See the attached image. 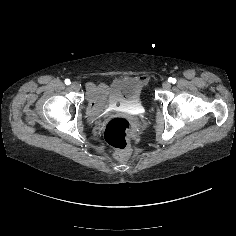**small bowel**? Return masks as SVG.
Returning <instances> with one entry per match:
<instances>
[{
    "mask_svg": "<svg viewBox=\"0 0 236 236\" xmlns=\"http://www.w3.org/2000/svg\"><path fill=\"white\" fill-rule=\"evenodd\" d=\"M142 80L145 81L146 79L143 78ZM96 88L102 90V91L104 92V94H105V88H106L105 85L102 84V85H99V86L96 87Z\"/></svg>",
    "mask_w": 236,
    "mask_h": 236,
    "instance_id": "obj_1",
    "label": "small bowel"
}]
</instances>
